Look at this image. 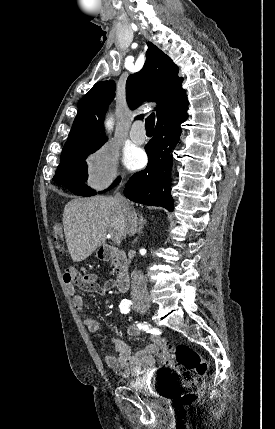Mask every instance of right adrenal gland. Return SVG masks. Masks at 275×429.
Listing matches in <instances>:
<instances>
[{
    "label": "right adrenal gland",
    "mask_w": 275,
    "mask_h": 429,
    "mask_svg": "<svg viewBox=\"0 0 275 429\" xmlns=\"http://www.w3.org/2000/svg\"><path fill=\"white\" fill-rule=\"evenodd\" d=\"M138 216H139V227H138L137 233L140 236L142 234V230H143L144 225L146 224L147 220L140 213H138Z\"/></svg>",
    "instance_id": "right-adrenal-gland-1"
}]
</instances>
